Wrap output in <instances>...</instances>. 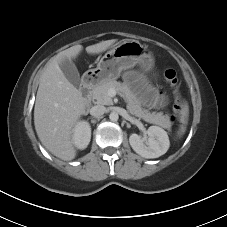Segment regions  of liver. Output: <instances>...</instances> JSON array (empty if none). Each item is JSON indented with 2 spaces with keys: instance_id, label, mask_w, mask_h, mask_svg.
<instances>
[{
  "instance_id": "1",
  "label": "liver",
  "mask_w": 227,
  "mask_h": 227,
  "mask_svg": "<svg viewBox=\"0 0 227 227\" xmlns=\"http://www.w3.org/2000/svg\"><path fill=\"white\" fill-rule=\"evenodd\" d=\"M117 40H107L86 47L88 54H98ZM81 45L72 46L54 56L40 78L34 107V125L42 145L56 157L71 161L76 157L73 130L85 112L81 93L70 83L59 63L65 58H76Z\"/></svg>"
}]
</instances>
